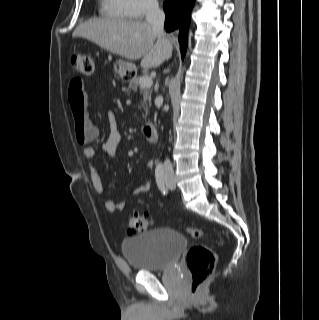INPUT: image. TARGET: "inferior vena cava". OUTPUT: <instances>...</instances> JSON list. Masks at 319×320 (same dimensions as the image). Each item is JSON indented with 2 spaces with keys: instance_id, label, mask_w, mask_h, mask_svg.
<instances>
[{
  "instance_id": "1",
  "label": "inferior vena cava",
  "mask_w": 319,
  "mask_h": 320,
  "mask_svg": "<svg viewBox=\"0 0 319 320\" xmlns=\"http://www.w3.org/2000/svg\"><path fill=\"white\" fill-rule=\"evenodd\" d=\"M146 20L158 33L159 37L163 40H166L164 35L165 14L163 10L159 8L157 0H151L149 3L146 13ZM164 172L170 175L174 174L173 166L168 159H166L164 162Z\"/></svg>"
}]
</instances>
